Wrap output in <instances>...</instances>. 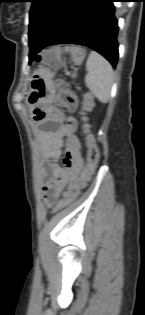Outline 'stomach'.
I'll list each match as a JSON object with an SVG mask.
<instances>
[{"label": "stomach", "mask_w": 145, "mask_h": 315, "mask_svg": "<svg viewBox=\"0 0 145 315\" xmlns=\"http://www.w3.org/2000/svg\"><path fill=\"white\" fill-rule=\"evenodd\" d=\"M53 79H57V72H33L32 86L27 91L32 122H51L52 116H58V109L44 105L50 102L51 91H55Z\"/></svg>", "instance_id": "stomach-1"}]
</instances>
